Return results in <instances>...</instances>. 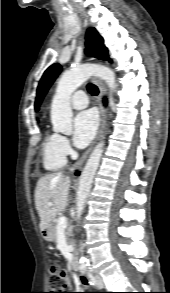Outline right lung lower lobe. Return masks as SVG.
Returning <instances> with one entry per match:
<instances>
[{
  "instance_id": "98d812e1",
  "label": "right lung lower lobe",
  "mask_w": 170,
  "mask_h": 293,
  "mask_svg": "<svg viewBox=\"0 0 170 293\" xmlns=\"http://www.w3.org/2000/svg\"><path fill=\"white\" fill-rule=\"evenodd\" d=\"M76 175H79V173H78V172H76Z\"/></svg>"
}]
</instances>
